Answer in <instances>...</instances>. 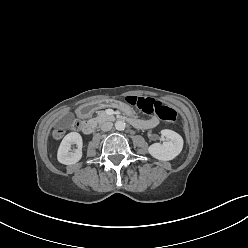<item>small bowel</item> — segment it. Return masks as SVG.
<instances>
[{
  "instance_id": "small-bowel-1",
  "label": "small bowel",
  "mask_w": 248,
  "mask_h": 248,
  "mask_svg": "<svg viewBox=\"0 0 248 248\" xmlns=\"http://www.w3.org/2000/svg\"><path fill=\"white\" fill-rule=\"evenodd\" d=\"M136 121H138V123L134 125L138 127H142V128H152L158 124V119L156 117L150 118L145 121H139V120H136Z\"/></svg>"
}]
</instances>
